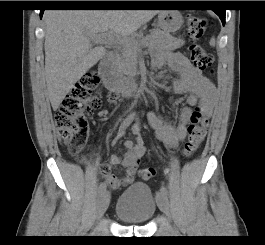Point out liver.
<instances>
[{
	"label": "liver",
	"instance_id": "liver-1",
	"mask_svg": "<svg viewBox=\"0 0 265 245\" xmlns=\"http://www.w3.org/2000/svg\"><path fill=\"white\" fill-rule=\"evenodd\" d=\"M158 13L159 10H47L43 16L45 76L53 110L105 54V47H93V34L128 36Z\"/></svg>",
	"mask_w": 265,
	"mask_h": 245
}]
</instances>
